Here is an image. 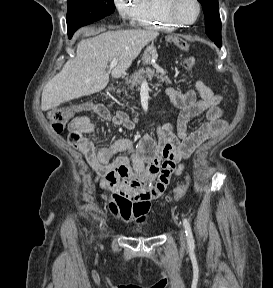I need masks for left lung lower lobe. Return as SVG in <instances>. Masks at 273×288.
Returning <instances> with one entry per match:
<instances>
[{"instance_id": "left-lung-lower-lobe-1", "label": "left lung lower lobe", "mask_w": 273, "mask_h": 288, "mask_svg": "<svg viewBox=\"0 0 273 288\" xmlns=\"http://www.w3.org/2000/svg\"><path fill=\"white\" fill-rule=\"evenodd\" d=\"M218 47H221L222 42L215 43Z\"/></svg>"}]
</instances>
